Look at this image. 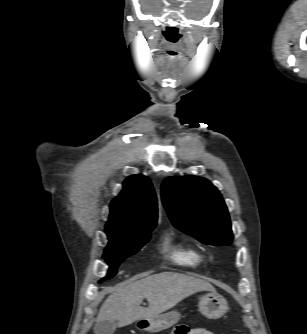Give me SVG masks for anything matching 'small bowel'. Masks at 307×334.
I'll return each mask as SVG.
<instances>
[{"label": "small bowel", "mask_w": 307, "mask_h": 334, "mask_svg": "<svg viewBox=\"0 0 307 334\" xmlns=\"http://www.w3.org/2000/svg\"><path fill=\"white\" fill-rule=\"evenodd\" d=\"M175 334H214V333L203 327H195L192 329L186 327H180L175 332Z\"/></svg>", "instance_id": "1"}]
</instances>
